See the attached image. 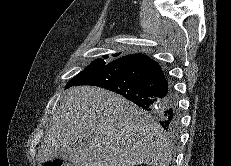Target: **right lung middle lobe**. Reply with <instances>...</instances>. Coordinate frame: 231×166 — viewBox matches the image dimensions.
<instances>
[{
  "instance_id": "obj_1",
  "label": "right lung middle lobe",
  "mask_w": 231,
  "mask_h": 166,
  "mask_svg": "<svg viewBox=\"0 0 231 166\" xmlns=\"http://www.w3.org/2000/svg\"><path fill=\"white\" fill-rule=\"evenodd\" d=\"M104 59H96L94 60L89 66H87L83 71H81L79 74H77L73 79H71L67 85L66 88H69L71 86L77 85L79 82L84 80L85 78L89 77L90 75L98 72L101 70L105 65L109 63L108 56H103Z\"/></svg>"
}]
</instances>
